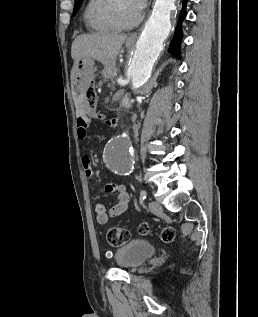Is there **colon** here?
Here are the masks:
<instances>
[{
	"mask_svg": "<svg viewBox=\"0 0 258 317\" xmlns=\"http://www.w3.org/2000/svg\"><path fill=\"white\" fill-rule=\"evenodd\" d=\"M83 107L93 116H99L97 114V93L93 83H90L85 87L83 91ZM141 234H148L150 228L146 224H142L139 227ZM161 238L164 242H171L174 238V231L171 228H164L161 233ZM130 232L126 229L113 227L107 231L106 240L112 246H121L130 240Z\"/></svg>",
	"mask_w": 258,
	"mask_h": 317,
	"instance_id": "5ec220e1",
	"label": "colon"
}]
</instances>
